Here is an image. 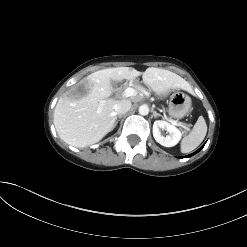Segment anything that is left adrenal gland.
<instances>
[{
	"mask_svg": "<svg viewBox=\"0 0 247 247\" xmlns=\"http://www.w3.org/2000/svg\"><path fill=\"white\" fill-rule=\"evenodd\" d=\"M152 112H153V116L156 118V117H162V115L161 114H159V113H157L156 111H153L152 110Z\"/></svg>",
	"mask_w": 247,
	"mask_h": 247,
	"instance_id": "obj_1",
	"label": "left adrenal gland"
}]
</instances>
